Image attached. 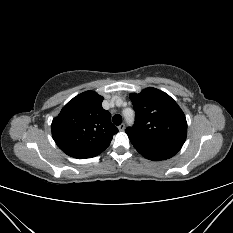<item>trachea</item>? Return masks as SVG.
<instances>
[{"label": "trachea", "mask_w": 233, "mask_h": 233, "mask_svg": "<svg viewBox=\"0 0 233 233\" xmlns=\"http://www.w3.org/2000/svg\"><path fill=\"white\" fill-rule=\"evenodd\" d=\"M112 121L115 125H120L122 123V117L119 114L113 116Z\"/></svg>", "instance_id": "obj_1"}]
</instances>
